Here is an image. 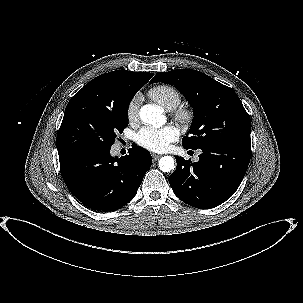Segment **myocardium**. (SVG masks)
I'll use <instances>...</instances> for the list:
<instances>
[{
	"instance_id": "myocardium-1",
	"label": "myocardium",
	"mask_w": 303,
	"mask_h": 303,
	"mask_svg": "<svg viewBox=\"0 0 303 303\" xmlns=\"http://www.w3.org/2000/svg\"><path fill=\"white\" fill-rule=\"evenodd\" d=\"M174 118L184 125H189L193 121L194 114L190 109L187 108H177L173 110Z\"/></svg>"
}]
</instances>
